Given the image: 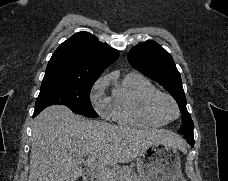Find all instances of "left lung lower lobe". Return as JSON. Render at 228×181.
Wrapping results in <instances>:
<instances>
[{"label": "left lung lower lobe", "instance_id": "left-lung-lower-lobe-1", "mask_svg": "<svg viewBox=\"0 0 228 181\" xmlns=\"http://www.w3.org/2000/svg\"><path fill=\"white\" fill-rule=\"evenodd\" d=\"M183 135H184V138L187 139V142L191 145V147H193L194 146L193 132H186Z\"/></svg>", "mask_w": 228, "mask_h": 181}]
</instances>
